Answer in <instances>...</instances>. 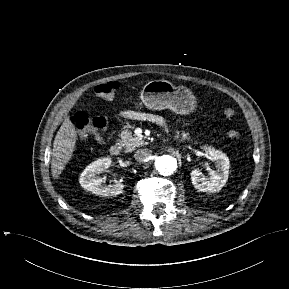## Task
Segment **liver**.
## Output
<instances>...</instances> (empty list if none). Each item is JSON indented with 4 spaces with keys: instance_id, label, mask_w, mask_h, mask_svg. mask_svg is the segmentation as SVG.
Masks as SVG:
<instances>
[{
    "instance_id": "6515ba94",
    "label": "liver",
    "mask_w": 289,
    "mask_h": 289,
    "mask_svg": "<svg viewBox=\"0 0 289 289\" xmlns=\"http://www.w3.org/2000/svg\"><path fill=\"white\" fill-rule=\"evenodd\" d=\"M77 140V131L70 118L62 123L53 142L51 172L54 179H58L66 164L72 157Z\"/></svg>"
}]
</instances>
